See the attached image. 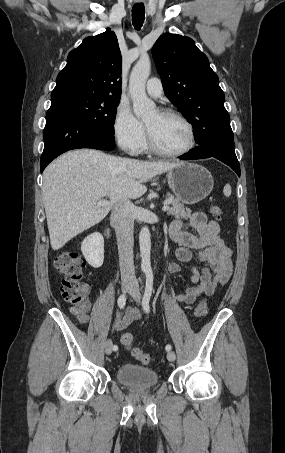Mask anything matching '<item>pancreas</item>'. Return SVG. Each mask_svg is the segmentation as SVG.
I'll return each instance as SVG.
<instances>
[{"label":"pancreas","instance_id":"pancreas-1","mask_svg":"<svg viewBox=\"0 0 285 453\" xmlns=\"http://www.w3.org/2000/svg\"><path fill=\"white\" fill-rule=\"evenodd\" d=\"M167 201L171 205L168 215L174 216L176 219H188L191 216V210L185 208L174 196L168 194Z\"/></svg>","mask_w":285,"mask_h":453}]
</instances>
